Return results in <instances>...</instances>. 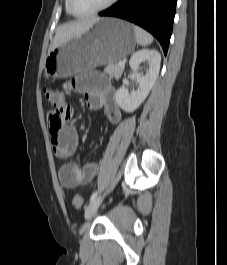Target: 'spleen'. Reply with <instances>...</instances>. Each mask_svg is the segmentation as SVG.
Returning a JSON list of instances; mask_svg holds the SVG:
<instances>
[{"label": "spleen", "mask_w": 227, "mask_h": 265, "mask_svg": "<svg viewBox=\"0 0 227 265\" xmlns=\"http://www.w3.org/2000/svg\"><path fill=\"white\" fill-rule=\"evenodd\" d=\"M136 41L139 45L147 46L152 43L153 37L144 29L134 25Z\"/></svg>", "instance_id": "3e777b00"}]
</instances>
